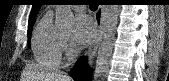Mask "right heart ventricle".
<instances>
[{
  "label": "right heart ventricle",
  "instance_id": "obj_1",
  "mask_svg": "<svg viewBox=\"0 0 169 81\" xmlns=\"http://www.w3.org/2000/svg\"><path fill=\"white\" fill-rule=\"evenodd\" d=\"M62 35L52 24V14L46 13L37 23L31 41L35 60L47 67H56L61 61Z\"/></svg>",
  "mask_w": 169,
  "mask_h": 81
}]
</instances>
